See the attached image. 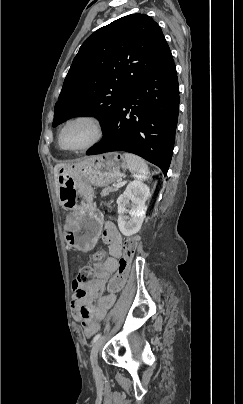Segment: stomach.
I'll return each instance as SVG.
<instances>
[{
	"mask_svg": "<svg viewBox=\"0 0 243 404\" xmlns=\"http://www.w3.org/2000/svg\"><path fill=\"white\" fill-rule=\"evenodd\" d=\"M127 169L125 157L115 152L91 156L59 169L60 203L70 210L65 220L69 246L87 251L95 245L103 216L93 205L91 186H108L121 179Z\"/></svg>",
	"mask_w": 243,
	"mask_h": 404,
	"instance_id": "obj_1",
	"label": "stomach"
}]
</instances>
